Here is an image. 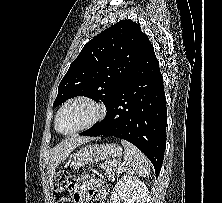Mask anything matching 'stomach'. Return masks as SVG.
<instances>
[{
    "label": "stomach",
    "mask_w": 222,
    "mask_h": 203,
    "mask_svg": "<svg viewBox=\"0 0 222 203\" xmlns=\"http://www.w3.org/2000/svg\"><path fill=\"white\" fill-rule=\"evenodd\" d=\"M122 154V148L114 143L87 145L77 151L72 159V166L78 169L99 160L113 159Z\"/></svg>",
    "instance_id": "0dacf381"
}]
</instances>
